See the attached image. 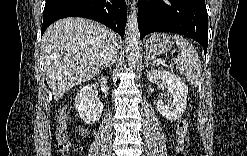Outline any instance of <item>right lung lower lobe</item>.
Here are the masks:
<instances>
[{
  "label": "right lung lower lobe",
  "mask_w": 247,
  "mask_h": 156,
  "mask_svg": "<svg viewBox=\"0 0 247 156\" xmlns=\"http://www.w3.org/2000/svg\"><path fill=\"white\" fill-rule=\"evenodd\" d=\"M72 16L98 21L124 36L127 22L125 0H47L41 34L56 20Z\"/></svg>",
  "instance_id": "obj_1"
}]
</instances>
